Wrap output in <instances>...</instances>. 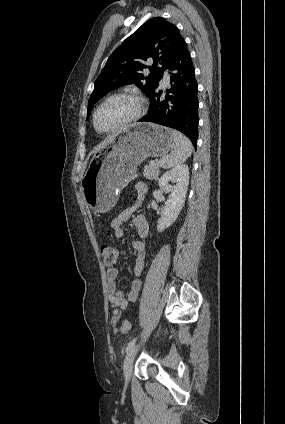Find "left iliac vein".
<instances>
[{"instance_id":"4c4485c4","label":"left iliac vein","mask_w":285,"mask_h":424,"mask_svg":"<svg viewBox=\"0 0 285 424\" xmlns=\"http://www.w3.org/2000/svg\"><path fill=\"white\" fill-rule=\"evenodd\" d=\"M138 350V345L137 346H133L127 353L125 360H124V376H125V380L126 382L129 381L130 379V375H131V369H132V362H133V358L136 354Z\"/></svg>"}]
</instances>
